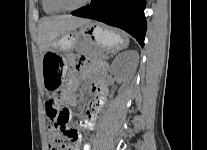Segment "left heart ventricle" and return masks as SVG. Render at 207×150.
<instances>
[{
	"label": "left heart ventricle",
	"instance_id": "obj_1",
	"mask_svg": "<svg viewBox=\"0 0 207 150\" xmlns=\"http://www.w3.org/2000/svg\"><path fill=\"white\" fill-rule=\"evenodd\" d=\"M65 6L72 7L80 4L84 0H61Z\"/></svg>",
	"mask_w": 207,
	"mask_h": 150
}]
</instances>
